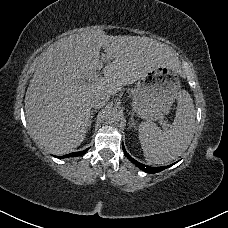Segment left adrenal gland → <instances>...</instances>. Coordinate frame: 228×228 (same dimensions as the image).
<instances>
[{"instance_id":"left-adrenal-gland-1","label":"left adrenal gland","mask_w":228,"mask_h":228,"mask_svg":"<svg viewBox=\"0 0 228 228\" xmlns=\"http://www.w3.org/2000/svg\"><path fill=\"white\" fill-rule=\"evenodd\" d=\"M131 123H130V129L134 128L135 127V123H134V119H133V115H131Z\"/></svg>"}]
</instances>
